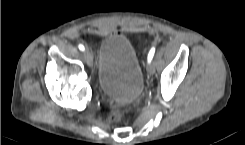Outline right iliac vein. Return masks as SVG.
Here are the masks:
<instances>
[{
    "instance_id": "right-iliac-vein-1",
    "label": "right iliac vein",
    "mask_w": 245,
    "mask_h": 145,
    "mask_svg": "<svg viewBox=\"0 0 245 145\" xmlns=\"http://www.w3.org/2000/svg\"><path fill=\"white\" fill-rule=\"evenodd\" d=\"M85 56H86V59H87L88 64L91 66L92 65V62H93V56H92V54L89 51H86L85 52Z\"/></svg>"
}]
</instances>
